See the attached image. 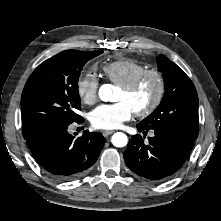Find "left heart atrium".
I'll return each instance as SVG.
<instances>
[{"mask_svg":"<svg viewBox=\"0 0 221 221\" xmlns=\"http://www.w3.org/2000/svg\"><path fill=\"white\" fill-rule=\"evenodd\" d=\"M133 113L134 110L125 101L102 104L90 113V122L96 129L113 130L128 121Z\"/></svg>","mask_w":221,"mask_h":221,"instance_id":"left-heart-atrium-1","label":"left heart atrium"}]
</instances>
